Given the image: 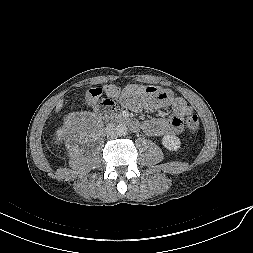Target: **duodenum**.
<instances>
[{
  "label": "duodenum",
  "mask_w": 253,
  "mask_h": 253,
  "mask_svg": "<svg viewBox=\"0 0 253 253\" xmlns=\"http://www.w3.org/2000/svg\"><path fill=\"white\" fill-rule=\"evenodd\" d=\"M95 113L97 116H101L104 114L105 116L113 120L114 122L118 124L126 125L133 130H137L140 127V124L138 123L137 120L125 115H121L112 108H104V107L98 106L95 108Z\"/></svg>",
  "instance_id": "obj_1"
}]
</instances>
